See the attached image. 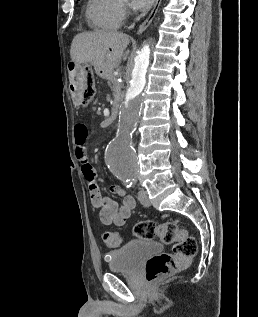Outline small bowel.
<instances>
[{
	"instance_id": "1",
	"label": "small bowel",
	"mask_w": 258,
	"mask_h": 317,
	"mask_svg": "<svg viewBox=\"0 0 258 317\" xmlns=\"http://www.w3.org/2000/svg\"><path fill=\"white\" fill-rule=\"evenodd\" d=\"M88 129L85 124L78 123L74 130V141L76 145V157L81 164L82 174L88 182L90 201L94 208L100 209L99 218L104 225L114 224L123 226L135 207V199L125 194L121 186L114 184L110 187L112 193L122 197L119 205L114 199L104 196L96 183V172L90 164L87 156L86 140Z\"/></svg>"
}]
</instances>
